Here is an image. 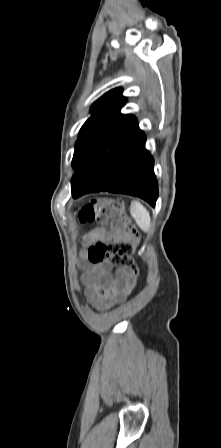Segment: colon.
<instances>
[{"instance_id":"obj_1","label":"colon","mask_w":221,"mask_h":448,"mask_svg":"<svg viewBox=\"0 0 221 448\" xmlns=\"http://www.w3.org/2000/svg\"><path fill=\"white\" fill-rule=\"evenodd\" d=\"M106 216H112L111 223L122 226L128 237L126 241L113 242L110 245L101 243L88 248L87 259L91 264L110 263L128 270L137 280L139 267L134 259L136 247L141 236L134 222L123 212V203L112 198L101 197L92 200L79 212L82 223H94Z\"/></svg>"}]
</instances>
